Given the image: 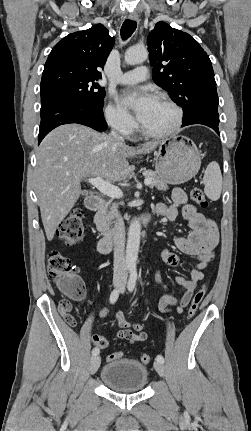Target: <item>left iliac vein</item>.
<instances>
[{
    "mask_svg": "<svg viewBox=\"0 0 251 431\" xmlns=\"http://www.w3.org/2000/svg\"><path fill=\"white\" fill-rule=\"evenodd\" d=\"M124 290H125V287H124V285H122L121 286V293H123L124 292ZM154 368H155V370L157 371V373L161 376V377H164V375H165V368H164V365H163V363L162 362H160V361H155L154 362Z\"/></svg>",
    "mask_w": 251,
    "mask_h": 431,
    "instance_id": "1",
    "label": "left iliac vein"
}]
</instances>
